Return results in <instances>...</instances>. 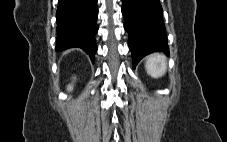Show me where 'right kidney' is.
I'll list each match as a JSON object with an SVG mask.
<instances>
[{"instance_id":"obj_1","label":"right kidney","mask_w":227,"mask_h":142,"mask_svg":"<svg viewBox=\"0 0 227 142\" xmlns=\"http://www.w3.org/2000/svg\"><path fill=\"white\" fill-rule=\"evenodd\" d=\"M73 89V86H68V90H72Z\"/></svg>"}]
</instances>
